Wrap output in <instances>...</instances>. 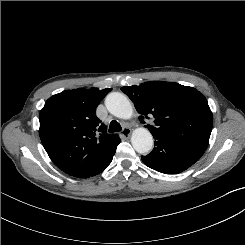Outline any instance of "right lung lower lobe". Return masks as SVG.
Wrapping results in <instances>:
<instances>
[{"label": "right lung lower lobe", "instance_id": "obj_1", "mask_svg": "<svg viewBox=\"0 0 245 245\" xmlns=\"http://www.w3.org/2000/svg\"><path fill=\"white\" fill-rule=\"evenodd\" d=\"M112 157H113V156H112ZM112 157H111V159L109 160L108 165L111 163V161H112ZM108 165H107V166H108Z\"/></svg>", "mask_w": 245, "mask_h": 245}]
</instances>
